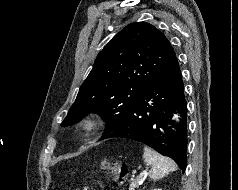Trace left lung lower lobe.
I'll return each instance as SVG.
<instances>
[{"instance_id":"left-lung-lower-lobe-1","label":"left lung lower lobe","mask_w":238,"mask_h":190,"mask_svg":"<svg viewBox=\"0 0 238 190\" xmlns=\"http://www.w3.org/2000/svg\"><path fill=\"white\" fill-rule=\"evenodd\" d=\"M179 113L178 123L172 121ZM123 137L146 144L172 158L184 172L187 165V103L175 56L152 79L121 122L102 139Z\"/></svg>"}]
</instances>
